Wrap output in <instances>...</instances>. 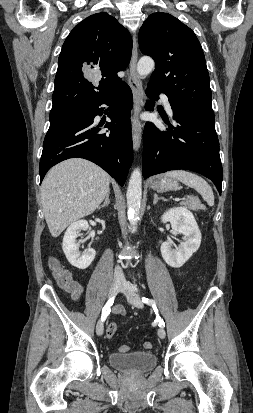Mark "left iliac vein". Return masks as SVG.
<instances>
[{
	"instance_id": "obj_1",
	"label": "left iliac vein",
	"mask_w": 253,
	"mask_h": 413,
	"mask_svg": "<svg viewBox=\"0 0 253 413\" xmlns=\"http://www.w3.org/2000/svg\"><path fill=\"white\" fill-rule=\"evenodd\" d=\"M121 292L125 294L130 304L139 309L143 308V303L140 297L133 291L132 286L128 281L123 280L121 285ZM157 333L161 339H164L166 336L165 330L162 327L158 328Z\"/></svg>"
}]
</instances>
